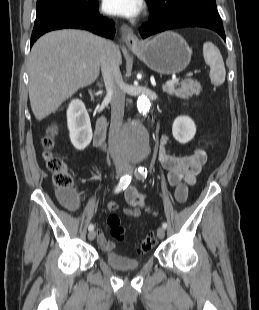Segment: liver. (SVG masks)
<instances>
[{"mask_svg":"<svg viewBox=\"0 0 259 310\" xmlns=\"http://www.w3.org/2000/svg\"><path fill=\"white\" fill-rule=\"evenodd\" d=\"M107 43L87 31L65 29L47 33L33 45L28 65L29 98L38 121L97 79ZM115 57L121 64L118 47Z\"/></svg>","mask_w":259,"mask_h":310,"instance_id":"6515ba94","label":"liver"}]
</instances>
